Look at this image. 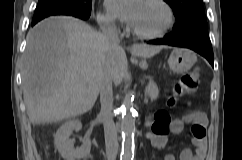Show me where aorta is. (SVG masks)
Returning <instances> with one entry per match:
<instances>
[{
  "mask_svg": "<svg viewBox=\"0 0 242 160\" xmlns=\"http://www.w3.org/2000/svg\"><path fill=\"white\" fill-rule=\"evenodd\" d=\"M122 151L121 160H133L135 135V110L130 95L125 97L122 105Z\"/></svg>",
  "mask_w": 242,
  "mask_h": 160,
  "instance_id": "aorta-1",
  "label": "aorta"
}]
</instances>
